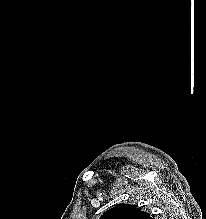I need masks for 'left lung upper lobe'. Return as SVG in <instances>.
I'll return each mask as SVG.
<instances>
[{
  "instance_id": "1",
  "label": "left lung upper lobe",
  "mask_w": 206,
  "mask_h": 219,
  "mask_svg": "<svg viewBox=\"0 0 206 219\" xmlns=\"http://www.w3.org/2000/svg\"><path fill=\"white\" fill-rule=\"evenodd\" d=\"M100 219H152V217L135 205L118 204L107 210Z\"/></svg>"
}]
</instances>
